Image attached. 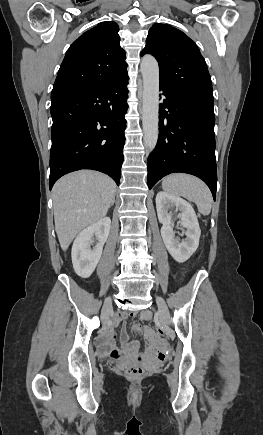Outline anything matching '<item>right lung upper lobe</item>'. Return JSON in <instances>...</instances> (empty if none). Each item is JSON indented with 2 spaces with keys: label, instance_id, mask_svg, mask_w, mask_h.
Returning <instances> with one entry per match:
<instances>
[{
  "label": "right lung upper lobe",
  "instance_id": "right-lung-upper-lobe-1",
  "mask_svg": "<svg viewBox=\"0 0 263 435\" xmlns=\"http://www.w3.org/2000/svg\"><path fill=\"white\" fill-rule=\"evenodd\" d=\"M118 31L117 23L101 22L73 42L58 71L51 99L87 90L127 73Z\"/></svg>",
  "mask_w": 263,
  "mask_h": 435
}]
</instances>
